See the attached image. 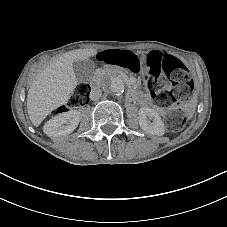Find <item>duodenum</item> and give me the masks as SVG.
Returning a JSON list of instances; mask_svg holds the SVG:
<instances>
[{
	"instance_id": "410a0bca",
	"label": "duodenum",
	"mask_w": 227,
	"mask_h": 227,
	"mask_svg": "<svg viewBox=\"0 0 227 227\" xmlns=\"http://www.w3.org/2000/svg\"><path fill=\"white\" fill-rule=\"evenodd\" d=\"M141 103H142V104H147V96H143V97L141 98Z\"/></svg>"
}]
</instances>
